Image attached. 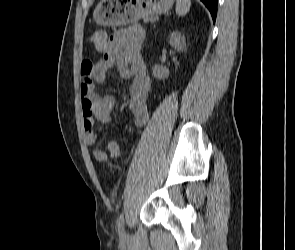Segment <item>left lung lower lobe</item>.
Returning a JSON list of instances; mask_svg holds the SVG:
<instances>
[{
    "mask_svg": "<svg viewBox=\"0 0 295 250\" xmlns=\"http://www.w3.org/2000/svg\"><path fill=\"white\" fill-rule=\"evenodd\" d=\"M205 6L209 9L213 21H215L216 19V15H217V2L218 0H201Z\"/></svg>",
    "mask_w": 295,
    "mask_h": 250,
    "instance_id": "1",
    "label": "left lung lower lobe"
}]
</instances>
